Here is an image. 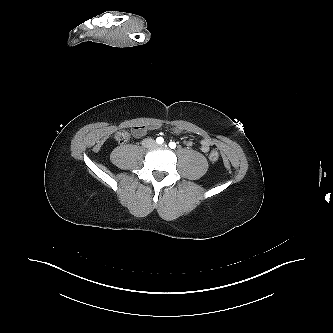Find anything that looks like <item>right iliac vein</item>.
<instances>
[{
    "label": "right iliac vein",
    "mask_w": 333,
    "mask_h": 333,
    "mask_svg": "<svg viewBox=\"0 0 333 333\" xmlns=\"http://www.w3.org/2000/svg\"><path fill=\"white\" fill-rule=\"evenodd\" d=\"M144 145H145L146 147H151V146L153 145V141H152V140H146V141L144 142Z\"/></svg>",
    "instance_id": "63e3f726"
}]
</instances>
